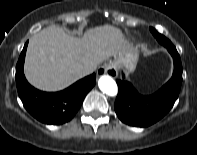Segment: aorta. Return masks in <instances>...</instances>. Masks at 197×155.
Returning <instances> with one entry per match:
<instances>
[{
  "label": "aorta",
  "mask_w": 197,
  "mask_h": 155,
  "mask_svg": "<svg viewBox=\"0 0 197 155\" xmlns=\"http://www.w3.org/2000/svg\"><path fill=\"white\" fill-rule=\"evenodd\" d=\"M98 86L103 93L109 96H115L118 92L116 82L108 75H103L99 78Z\"/></svg>",
  "instance_id": "762f6f07"
}]
</instances>
